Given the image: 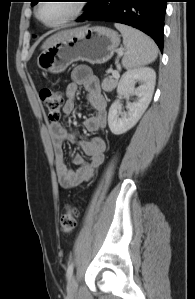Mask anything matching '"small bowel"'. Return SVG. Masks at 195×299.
I'll list each match as a JSON object with an SVG mask.
<instances>
[{
  "label": "small bowel",
  "mask_w": 195,
  "mask_h": 299,
  "mask_svg": "<svg viewBox=\"0 0 195 299\" xmlns=\"http://www.w3.org/2000/svg\"><path fill=\"white\" fill-rule=\"evenodd\" d=\"M72 80L67 84L66 101L63 107L65 115H71L76 107L75 95L81 86L87 93V101L94 108L95 114L84 120L86 131L92 133L103 129L107 123V101L103 95L99 79L87 67H76L72 72ZM49 131L56 157V171L60 184L65 189H72L81 183L89 181L95 170L103 163L106 151V141L101 137H94L86 141H79L77 133L67 128L61 122H51ZM65 142H78L83 152L89 157L85 161L80 154H75L73 161L79 167L71 170L64 159L63 145Z\"/></svg>",
  "instance_id": "small-bowel-1"
}]
</instances>
